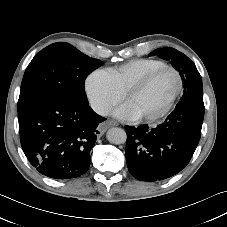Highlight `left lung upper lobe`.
<instances>
[{
    "instance_id": "left-lung-upper-lobe-1",
    "label": "left lung upper lobe",
    "mask_w": 227,
    "mask_h": 227,
    "mask_svg": "<svg viewBox=\"0 0 227 227\" xmlns=\"http://www.w3.org/2000/svg\"><path fill=\"white\" fill-rule=\"evenodd\" d=\"M162 59L169 60L172 66L180 73L184 94L176 108L185 106L204 107L202 79L195 64L183 53L174 48H158L150 53Z\"/></svg>"
}]
</instances>
